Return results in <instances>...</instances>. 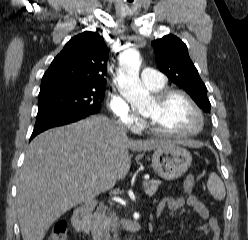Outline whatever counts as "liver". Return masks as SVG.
<instances>
[{"label": "liver", "instance_id": "obj_1", "mask_svg": "<svg viewBox=\"0 0 248 240\" xmlns=\"http://www.w3.org/2000/svg\"><path fill=\"white\" fill-rule=\"evenodd\" d=\"M134 140L105 116L45 131L30 143L17 185V213L23 240H43L65 212L92 201L125 178L132 151L172 145Z\"/></svg>", "mask_w": 248, "mask_h": 240}]
</instances>
